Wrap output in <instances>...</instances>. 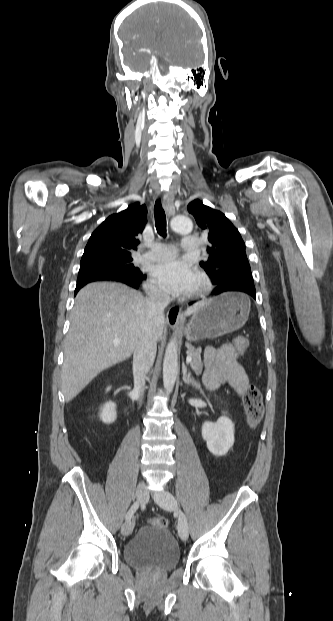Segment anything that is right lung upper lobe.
Segmentation results:
<instances>
[{
	"mask_svg": "<svg viewBox=\"0 0 333 621\" xmlns=\"http://www.w3.org/2000/svg\"><path fill=\"white\" fill-rule=\"evenodd\" d=\"M147 208L136 202L110 215L92 233L82 258L127 257L137 249V236L144 230Z\"/></svg>",
	"mask_w": 333,
	"mask_h": 621,
	"instance_id": "obj_1",
	"label": "right lung upper lobe"
}]
</instances>
